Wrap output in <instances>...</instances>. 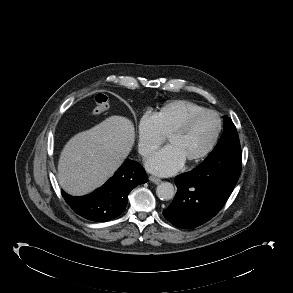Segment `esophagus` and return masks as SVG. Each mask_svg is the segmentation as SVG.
Here are the masks:
<instances>
[{
	"instance_id": "obj_1",
	"label": "esophagus",
	"mask_w": 293,
	"mask_h": 293,
	"mask_svg": "<svg viewBox=\"0 0 293 293\" xmlns=\"http://www.w3.org/2000/svg\"><path fill=\"white\" fill-rule=\"evenodd\" d=\"M149 180L155 184H159L161 182V179L155 176H149Z\"/></svg>"
}]
</instances>
